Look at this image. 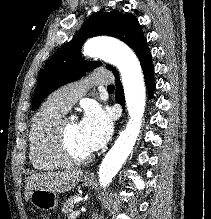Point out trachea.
Instances as JSON below:
<instances>
[{
  "label": "trachea",
  "instance_id": "3493384b",
  "mask_svg": "<svg viewBox=\"0 0 211 219\" xmlns=\"http://www.w3.org/2000/svg\"><path fill=\"white\" fill-rule=\"evenodd\" d=\"M107 89L114 90V86H113V85H109V86L107 87Z\"/></svg>",
  "mask_w": 211,
  "mask_h": 219
}]
</instances>
